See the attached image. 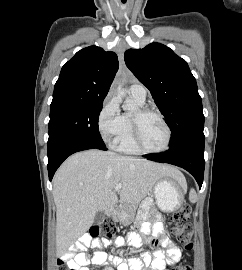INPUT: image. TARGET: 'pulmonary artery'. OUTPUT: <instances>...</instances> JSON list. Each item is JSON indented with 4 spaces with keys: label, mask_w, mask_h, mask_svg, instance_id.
Listing matches in <instances>:
<instances>
[{
    "label": "pulmonary artery",
    "mask_w": 242,
    "mask_h": 270,
    "mask_svg": "<svg viewBox=\"0 0 242 270\" xmlns=\"http://www.w3.org/2000/svg\"><path fill=\"white\" fill-rule=\"evenodd\" d=\"M146 93H147L146 88L140 83H135L131 85V87L129 88V94L131 98L140 103L145 102Z\"/></svg>",
    "instance_id": "e3ab8cb5"
}]
</instances>
